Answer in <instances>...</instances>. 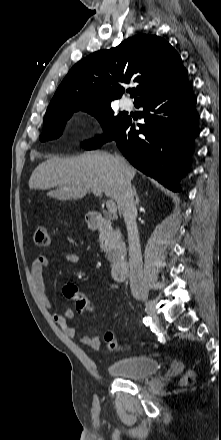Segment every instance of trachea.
<instances>
[{
    "mask_svg": "<svg viewBox=\"0 0 221 440\" xmlns=\"http://www.w3.org/2000/svg\"><path fill=\"white\" fill-rule=\"evenodd\" d=\"M133 92H134V90L130 91V93H133Z\"/></svg>",
    "mask_w": 221,
    "mask_h": 440,
    "instance_id": "3493384b",
    "label": "trachea"
}]
</instances>
